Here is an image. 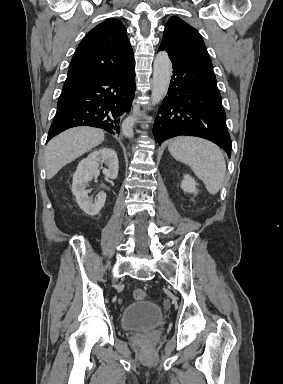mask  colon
Instances as JSON below:
<instances>
[{"mask_svg":"<svg viewBox=\"0 0 283 384\" xmlns=\"http://www.w3.org/2000/svg\"><path fill=\"white\" fill-rule=\"evenodd\" d=\"M133 297L136 301H143L147 298V292L144 289H136L133 292Z\"/></svg>","mask_w":283,"mask_h":384,"instance_id":"5ec220e1","label":"colon"}]
</instances>
